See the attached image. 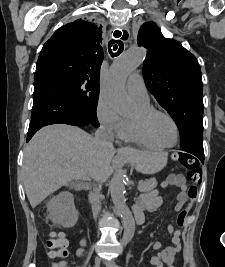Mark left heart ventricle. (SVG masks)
Instances as JSON below:
<instances>
[{"label": "left heart ventricle", "instance_id": "left-heart-ventricle-1", "mask_svg": "<svg viewBox=\"0 0 225 267\" xmlns=\"http://www.w3.org/2000/svg\"><path fill=\"white\" fill-rule=\"evenodd\" d=\"M151 132L154 139L163 145L172 144L176 139L173 123L165 116L157 115L151 121Z\"/></svg>", "mask_w": 225, "mask_h": 267}]
</instances>
